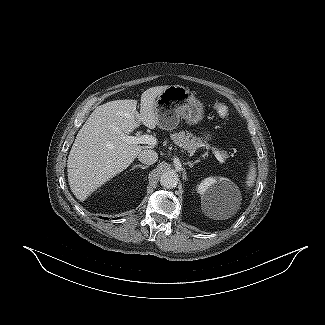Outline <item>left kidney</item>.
<instances>
[{"label":"left kidney","instance_id":"5707ae66","mask_svg":"<svg viewBox=\"0 0 325 325\" xmlns=\"http://www.w3.org/2000/svg\"><path fill=\"white\" fill-rule=\"evenodd\" d=\"M234 189L233 183L226 178H206L197 187L202 203L223 207L226 199Z\"/></svg>","mask_w":325,"mask_h":325}]
</instances>
